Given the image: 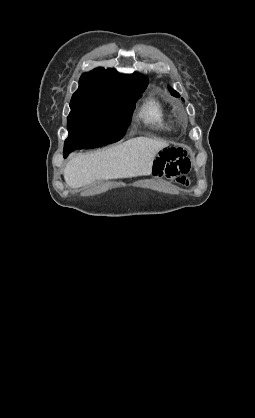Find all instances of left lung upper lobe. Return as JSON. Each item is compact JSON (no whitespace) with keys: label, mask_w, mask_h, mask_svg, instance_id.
<instances>
[{"label":"left lung upper lobe","mask_w":255,"mask_h":418,"mask_svg":"<svg viewBox=\"0 0 255 418\" xmlns=\"http://www.w3.org/2000/svg\"><path fill=\"white\" fill-rule=\"evenodd\" d=\"M170 90V92H171V94L173 95V96H175V97H179L180 95L178 94V92H176L175 90H173V89H169ZM183 100V99H182ZM184 101V100H183Z\"/></svg>","instance_id":"1"}]
</instances>
